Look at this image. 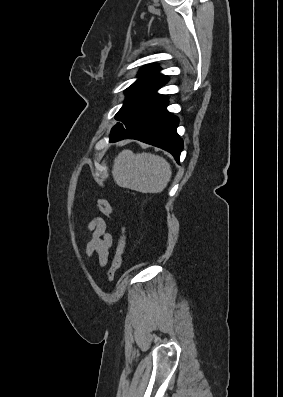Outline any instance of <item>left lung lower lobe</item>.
Segmentation results:
<instances>
[{
  "label": "left lung lower lobe",
  "instance_id": "1",
  "mask_svg": "<svg viewBox=\"0 0 283 397\" xmlns=\"http://www.w3.org/2000/svg\"><path fill=\"white\" fill-rule=\"evenodd\" d=\"M168 99L139 117L119 135L110 137V142L126 138L140 140L170 152L177 162L183 150V141L177 134L178 118L168 112Z\"/></svg>",
  "mask_w": 283,
  "mask_h": 397
}]
</instances>
